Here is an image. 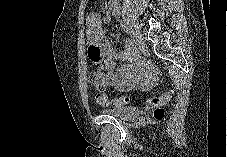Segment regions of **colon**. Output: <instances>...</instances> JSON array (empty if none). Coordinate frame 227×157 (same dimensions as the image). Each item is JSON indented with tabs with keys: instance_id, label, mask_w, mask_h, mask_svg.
Here are the masks:
<instances>
[{
	"instance_id": "colon-1",
	"label": "colon",
	"mask_w": 227,
	"mask_h": 157,
	"mask_svg": "<svg viewBox=\"0 0 227 157\" xmlns=\"http://www.w3.org/2000/svg\"><path fill=\"white\" fill-rule=\"evenodd\" d=\"M99 63V62H94ZM98 71H94L90 75V81H94L96 79ZM172 98V91L168 90L163 93L161 96H155L147 99V103L154 108V117L156 119L163 118L165 114V110L163 105L169 102ZM96 101L99 105H109L112 104L114 106H122L129 102V98L127 96H118L113 100H110L109 96L105 92H100L96 95Z\"/></svg>"
}]
</instances>
